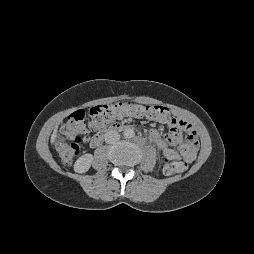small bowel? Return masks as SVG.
I'll return each mask as SVG.
<instances>
[{
  "label": "small bowel",
  "mask_w": 254,
  "mask_h": 254,
  "mask_svg": "<svg viewBox=\"0 0 254 254\" xmlns=\"http://www.w3.org/2000/svg\"><path fill=\"white\" fill-rule=\"evenodd\" d=\"M157 121L169 129L165 135L156 129L150 132L152 140L162 151L164 159H183L187 163L193 162L198 151V137L191 122L184 117L171 116L168 111L165 118ZM183 133L186 135L185 138ZM171 145H177L179 151L172 149Z\"/></svg>",
  "instance_id": "obj_1"
}]
</instances>
